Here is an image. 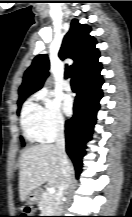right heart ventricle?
I'll return each instance as SVG.
<instances>
[{"mask_svg":"<svg viewBox=\"0 0 132 217\" xmlns=\"http://www.w3.org/2000/svg\"><path fill=\"white\" fill-rule=\"evenodd\" d=\"M21 125L24 136L30 143L44 141L41 133V106L32 100L27 101L23 106Z\"/></svg>","mask_w":132,"mask_h":217,"instance_id":"obj_1","label":"right heart ventricle"}]
</instances>
